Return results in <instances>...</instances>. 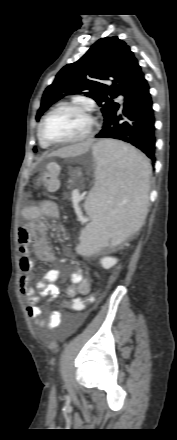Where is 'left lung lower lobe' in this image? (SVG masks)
<instances>
[{
  "instance_id": "1",
  "label": "left lung lower lobe",
  "mask_w": 177,
  "mask_h": 440,
  "mask_svg": "<svg viewBox=\"0 0 177 440\" xmlns=\"http://www.w3.org/2000/svg\"><path fill=\"white\" fill-rule=\"evenodd\" d=\"M122 113L120 105L104 122L96 138H114L125 141L144 152L152 161L155 158V118L149 85L141 72L125 93Z\"/></svg>"
}]
</instances>
